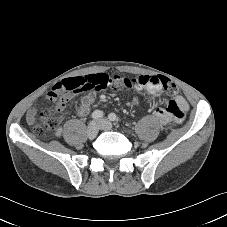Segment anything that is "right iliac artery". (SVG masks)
Listing matches in <instances>:
<instances>
[{"mask_svg": "<svg viewBox=\"0 0 227 227\" xmlns=\"http://www.w3.org/2000/svg\"><path fill=\"white\" fill-rule=\"evenodd\" d=\"M103 112L102 111H100V110H95L93 113H92V115H91V117L93 118V119H100V118H102L103 117Z\"/></svg>", "mask_w": 227, "mask_h": 227, "instance_id": "obj_1", "label": "right iliac artery"}]
</instances>
